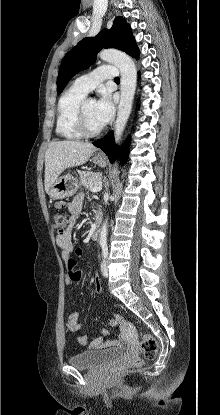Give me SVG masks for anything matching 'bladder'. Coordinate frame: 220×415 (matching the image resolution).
Returning <instances> with one entry per match:
<instances>
[{"label":"bladder","instance_id":"31cf9c89","mask_svg":"<svg viewBox=\"0 0 220 415\" xmlns=\"http://www.w3.org/2000/svg\"><path fill=\"white\" fill-rule=\"evenodd\" d=\"M125 348H112L101 351H82L69 359V363L79 369L94 368L122 358Z\"/></svg>","mask_w":220,"mask_h":415}]
</instances>
